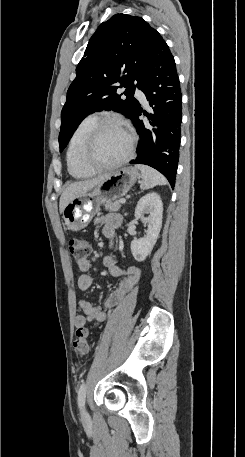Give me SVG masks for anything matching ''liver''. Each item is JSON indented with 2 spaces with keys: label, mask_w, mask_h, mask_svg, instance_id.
<instances>
[{
  "label": "liver",
  "mask_w": 245,
  "mask_h": 457,
  "mask_svg": "<svg viewBox=\"0 0 245 457\" xmlns=\"http://www.w3.org/2000/svg\"><path fill=\"white\" fill-rule=\"evenodd\" d=\"M108 174H102V176H96V178H90V180H79V182H72V184H68L67 188L63 190L60 196V212H63L66 204L76 198L78 194H82V192H87L102 180H105Z\"/></svg>",
  "instance_id": "obj_1"
}]
</instances>
